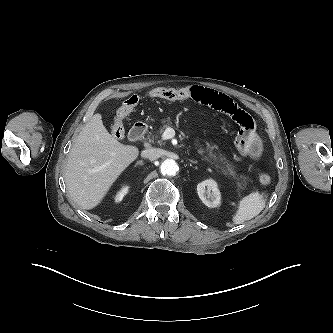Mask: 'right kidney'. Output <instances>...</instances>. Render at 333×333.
Segmentation results:
<instances>
[{
    "mask_svg": "<svg viewBox=\"0 0 333 333\" xmlns=\"http://www.w3.org/2000/svg\"><path fill=\"white\" fill-rule=\"evenodd\" d=\"M129 187L128 186H124L115 196V201L116 202H120L123 197L128 193Z\"/></svg>",
    "mask_w": 333,
    "mask_h": 333,
    "instance_id": "1",
    "label": "right kidney"
}]
</instances>
